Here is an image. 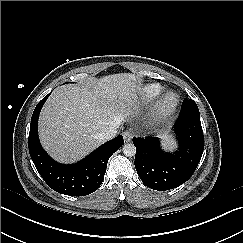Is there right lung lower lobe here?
Masks as SVG:
<instances>
[{"mask_svg": "<svg viewBox=\"0 0 243 243\" xmlns=\"http://www.w3.org/2000/svg\"><path fill=\"white\" fill-rule=\"evenodd\" d=\"M49 95L37 104L31 118L28 138L30 156L39 174L50 188L70 196L88 195L101 185L107 162L124 144L123 137L118 135L76 164L63 165L54 161L41 147L38 138L39 113Z\"/></svg>", "mask_w": 243, "mask_h": 243, "instance_id": "obj_1", "label": "right lung lower lobe"}]
</instances>
